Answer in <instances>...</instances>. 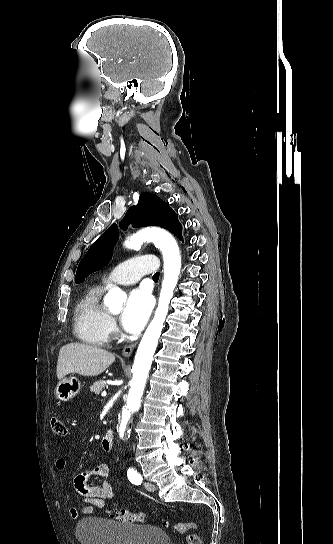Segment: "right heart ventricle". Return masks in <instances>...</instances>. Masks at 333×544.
<instances>
[{
	"instance_id": "1",
	"label": "right heart ventricle",
	"mask_w": 333,
	"mask_h": 544,
	"mask_svg": "<svg viewBox=\"0 0 333 544\" xmlns=\"http://www.w3.org/2000/svg\"><path fill=\"white\" fill-rule=\"evenodd\" d=\"M103 289L91 288L78 303L75 310V331L85 343L102 346L109 339L108 324L110 316L101 303Z\"/></svg>"
}]
</instances>
